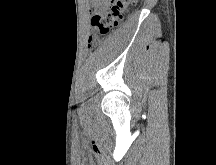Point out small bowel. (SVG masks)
<instances>
[{
  "label": "small bowel",
  "instance_id": "c3829d8e",
  "mask_svg": "<svg viewBox=\"0 0 216 165\" xmlns=\"http://www.w3.org/2000/svg\"><path fill=\"white\" fill-rule=\"evenodd\" d=\"M93 5L98 8L102 9L105 7V5L108 3V0H91Z\"/></svg>",
  "mask_w": 216,
  "mask_h": 165
}]
</instances>
